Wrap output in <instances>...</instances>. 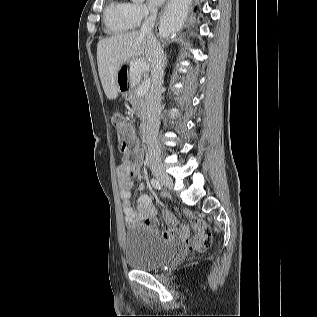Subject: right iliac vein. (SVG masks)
Masks as SVG:
<instances>
[{
  "label": "right iliac vein",
  "mask_w": 317,
  "mask_h": 317,
  "mask_svg": "<svg viewBox=\"0 0 317 317\" xmlns=\"http://www.w3.org/2000/svg\"><path fill=\"white\" fill-rule=\"evenodd\" d=\"M154 175L164 186L170 189L173 187V181L171 177L168 174H166L164 171L156 170L154 172Z\"/></svg>",
  "instance_id": "right-iliac-vein-1"
}]
</instances>
